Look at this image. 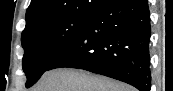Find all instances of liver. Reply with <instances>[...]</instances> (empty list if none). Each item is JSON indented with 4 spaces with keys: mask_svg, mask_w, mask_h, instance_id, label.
<instances>
[{
    "mask_svg": "<svg viewBox=\"0 0 173 91\" xmlns=\"http://www.w3.org/2000/svg\"><path fill=\"white\" fill-rule=\"evenodd\" d=\"M30 91H134L111 78L73 68L46 71Z\"/></svg>",
    "mask_w": 173,
    "mask_h": 91,
    "instance_id": "liver-1",
    "label": "liver"
}]
</instances>
